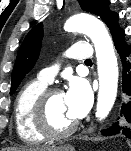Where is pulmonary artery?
I'll use <instances>...</instances> for the list:
<instances>
[{"instance_id":"pulmonary-artery-1","label":"pulmonary artery","mask_w":131,"mask_h":151,"mask_svg":"<svg viewBox=\"0 0 131 151\" xmlns=\"http://www.w3.org/2000/svg\"><path fill=\"white\" fill-rule=\"evenodd\" d=\"M66 55L69 58L85 62L87 59H91L93 51L89 43L79 41L75 42L67 49ZM56 73V67L45 68L39 73V79L44 83L49 84L53 81Z\"/></svg>"}]
</instances>
